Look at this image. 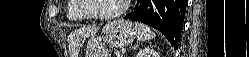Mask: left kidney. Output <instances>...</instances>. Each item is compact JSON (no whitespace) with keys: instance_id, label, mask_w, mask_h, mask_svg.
<instances>
[{"instance_id":"obj_1","label":"left kidney","mask_w":249,"mask_h":57,"mask_svg":"<svg viewBox=\"0 0 249 57\" xmlns=\"http://www.w3.org/2000/svg\"><path fill=\"white\" fill-rule=\"evenodd\" d=\"M136 57H160V54L151 47H145L137 53Z\"/></svg>"}]
</instances>
